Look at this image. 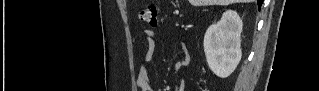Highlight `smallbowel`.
Segmentation results:
<instances>
[{
	"instance_id": "small-bowel-1",
	"label": "small bowel",
	"mask_w": 319,
	"mask_h": 91,
	"mask_svg": "<svg viewBox=\"0 0 319 91\" xmlns=\"http://www.w3.org/2000/svg\"><path fill=\"white\" fill-rule=\"evenodd\" d=\"M144 40L146 44V55L145 58L137 71L136 76V85L142 91H154L151 80H150V69L149 65L152 62L155 52H156V43H155V33L152 30L144 31ZM181 52L183 57L175 62L173 66L174 72H178L180 69L186 67L189 64V51L185 44L180 45ZM185 88V80L180 78L177 80V91H183Z\"/></svg>"
}]
</instances>
